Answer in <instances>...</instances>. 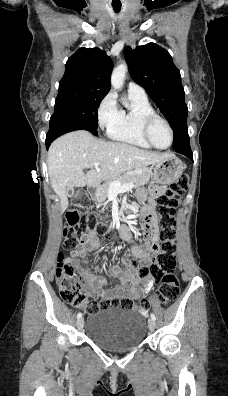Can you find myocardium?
I'll return each instance as SVG.
<instances>
[{"label": "myocardium", "instance_id": "f54148a6", "mask_svg": "<svg viewBox=\"0 0 228 396\" xmlns=\"http://www.w3.org/2000/svg\"><path fill=\"white\" fill-rule=\"evenodd\" d=\"M157 120L163 122L166 125V127H167V129H168V131L170 133V143L168 144V146H166L164 148L156 146L154 144V142L152 141L151 136H150L151 126ZM141 131H142V135H143L144 139L146 140V142L152 148H155V149H158V150H166V149L170 148L172 143H173V141H174V132H173L172 126L170 125L169 121L166 118H164L163 116H161V115H159L157 113L148 114V115H145L142 118Z\"/></svg>", "mask_w": 228, "mask_h": 396}]
</instances>
